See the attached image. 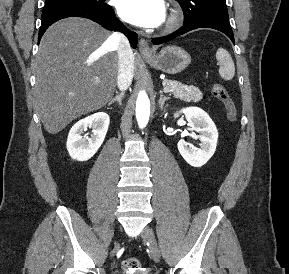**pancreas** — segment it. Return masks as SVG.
I'll use <instances>...</instances> for the list:
<instances>
[{"instance_id": "cf45deb5", "label": "pancreas", "mask_w": 289, "mask_h": 274, "mask_svg": "<svg viewBox=\"0 0 289 274\" xmlns=\"http://www.w3.org/2000/svg\"><path fill=\"white\" fill-rule=\"evenodd\" d=\"M164 87H169L172 89L171 94L175 98L183 100L185 102H199L203 98L202 92L194 86H187L180 82L173 80H164Z\"/></svg>"}]
</instances>
